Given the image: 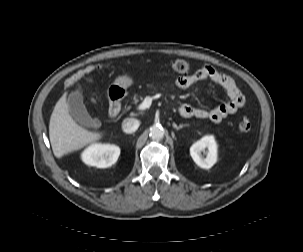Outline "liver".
Returning a JSON list of instances; mask_svg holds the SVG:
<instances>
[{
	"instance_id": "liver-1",
	"label": "liver",
	"mask_w": 303,
	"mask_h": 252,
	"mask_svg": "<svg viewBox=\"0 0 303 252\" xmlns=\"http://www.w3.org/2000/svg\"><path fill=\"white\" fill-rule=\"evenodd\" d=\"M66 97V94L63 95L56 103L49 123L51 147L57 158L102 138V133L88 131L73 120Z\"/></svg>"
}]
</instances>
